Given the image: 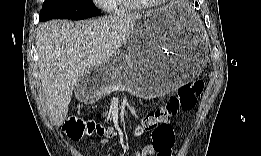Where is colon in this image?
Here are the masks:
<instances>
[{"label": "colon", "mask_w": 261, "mask_h": 156, "mask_svg": "<svg viewBox=\"0 0 261 156\" xmlns=\"http://www.w3.org/2000/svg\"><path fill=\"white\" fill-rule=\"evenodd\" d=\"M204 88L205 81L202 79L183 85L177 93L169 96L166 103L146 114L137 125L135 133L140 135L143 132H151L152 142L159 155L170 154L174 144V133L169 124L171 119L181 111L191 110ZM75 118L76 120L71 119L65 127V132L69 137L78 139L84 135H96L99 139L107 141L117 135V131L111 126Z\"/></svg>", "instance_id": "5ec220e1"}]
</instances>
